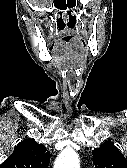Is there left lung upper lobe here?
Instances as JSON below:
<instances>
[{
    "instance_id": "5c2ea615",
    "label": "left lung upper lobe",
    "mask_w": 127,
    "mask_h": 168,
    "mask_svg": "<svg viewBox=\"0 0 127 168\" xmlns=\"http://www.w3.org/2000/svg\"><path fill=\"white\" fill-rule=\"evenodd\" d=\"M95 168H127V160L111 141L92 151Z\"/></svg>"
}]
</instances>
